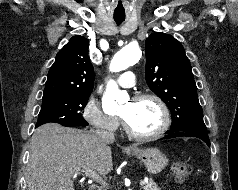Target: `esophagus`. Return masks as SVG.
Segmentation results:
<instances>
[{
    "label": "esophagus",
    "mask_w": 238,
    "mask_h": 190,
    "mask_svg": "<svg viewBox=\"0 0 238 190\" xmlns=\"http://www.w3.org/2000/svg\"><path fill=\"white\" fill-rule=\"evenodd\" d=\"M128 149H132V147L130 146V147H128Z\"/></svg>",
    "instance_id": "esophagus-1"
}]
</instances>
